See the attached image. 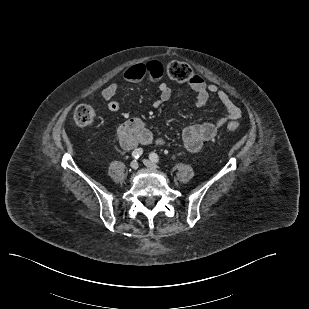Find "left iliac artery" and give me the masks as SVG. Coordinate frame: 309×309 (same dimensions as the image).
I'll return each mask as SVG.
<instances>
[{"mask_svg": "<svg viewBox=\"0 0 309 309\" xmlns=\"http://www.w3.org/2000/svg\"><path fill=\"white\" fill-rule=\"evenodd\" d=\"M149 158L152 162L159 163V157L156 153H150Z\"/></svg>", "mask_w": 309, "mask_h": 309, "instance_id": "44dca946", "label": "left iliac artery"}]
</instances>
